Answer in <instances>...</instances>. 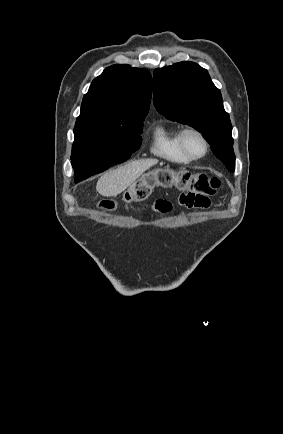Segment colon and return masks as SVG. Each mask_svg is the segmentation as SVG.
I'll list each match as a JSON object with an SVG mask.
<instances>
[{"mask_svg": "<svg viewBox=\"0 0 283 434\" xmlns=\"http://www.w3.org/2000/svg\"><path fill=\"white\" fill-rule=\"evenodd\" d=\"M156 186H175L203 196L214 195L220 186V180L206 173L179 172L172 175L168 171L160 170L146 174L136 181L125 193L123 201L126 203L141 202L149 197ZM101 207L112 209L111 201L101 202Z\"/></svg>", "mask_w": 283, "mask_h": 434, "instance_id": "5ec220e1", "label": "colon"}]
</instances>
